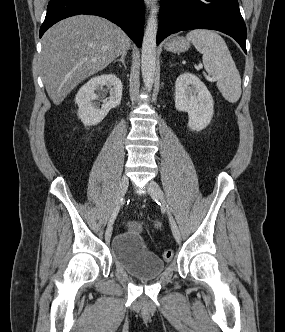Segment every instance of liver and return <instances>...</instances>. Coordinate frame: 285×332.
I'll return each mask as SVG.
<instances>
[{
  "mask_svg": "<svg viewBox=\"0 0 285 332\" xmlns=\"http://www.w3.org/2000/svg\"><path fill=\"white\" fill-rule=\"evenodd\" d=\"M130 47L114 23L76 15L53 25L42 38L41 67L46 91L55 105L83 80L105 69Z\"/></svg>",
  "mask_w": 285,
  "mask_h": 332,
  "instance_id": "1",
  "label": "liver"
}]
</instances>
